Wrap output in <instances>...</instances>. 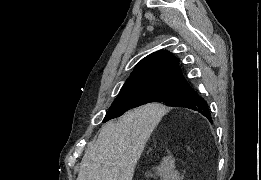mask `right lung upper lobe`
<instances>
[{
    "instance_id": "cb5924a9",
    "label": "right lung upper lobe",
    "mask_w": 261,
    "mask_h": 180,
    "mask_svg": "<svg viewBox=\"0 0 261 180\" xmlns=\"http://www.w3.org/2000/svg\"><path fill=\"white\" fill-rule=\"evenodd\" d=\"M179 60L167 51L154 52L142 59L134 68L122 88L168 81H185Z\"/></svg>"
}]
</instances>
